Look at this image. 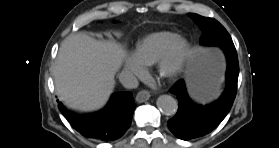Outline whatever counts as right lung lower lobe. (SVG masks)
Masks as SVG:
<instances>
[{
    "mask_svg": "<svg viewBox=\"0 0 279 148\" xmlns=\"http://www.w3.org/2000/svg\"><path fill=\"white\" fill-rule=\"evenodd\" d=\"M136 104L131 92H118L111 96L107 106L93 115H78L60 103L59 110L71 126L87 138L104 142L113 141L127 131L132 122Z\"/></svg>",
    "mask_w": 279,
    "mask_h": 148,
    "instance_id": "98d812e1",
    "label": "right lung lower lobe"
}]
</instances>
